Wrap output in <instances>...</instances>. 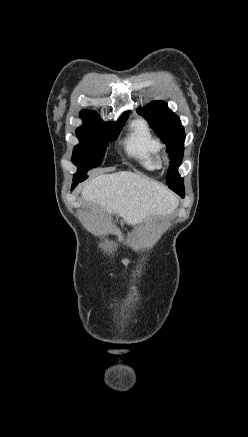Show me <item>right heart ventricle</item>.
<instances>
[{
  "label": "right heart ventricle",
  "instance_id": "obj_1",
  "mask_svg": "<svg viewBox=\"0 0 248 437\" xmlns=\"http://www.w3.org/2000/svg\"><path fill=\"white\" fill-rule=\"evenodd\" d=\"M127 153L144 169L156 171L161 168V143L152 133L146 121L138 119L131 124L125 140Z\"/></svg>",
  "mask_w": 248,
  "mask_h": 437
}]
</instances>
